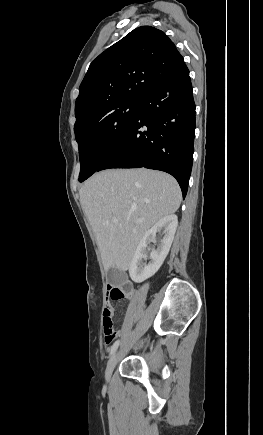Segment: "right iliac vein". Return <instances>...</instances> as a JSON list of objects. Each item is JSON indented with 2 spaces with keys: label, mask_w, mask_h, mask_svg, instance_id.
I'll return each mask as SVG.
<instances>
[{
  "label": "right iliac vein",
  "mask_w": 263,
  "mask_h": 435,
  "mask_svg": "<svg viewBox=\"0 0 263 435\" xmlns=\"http://www.w3.org/2000/svg\"><path fill=\"white\" fill-rule=\"evenodd\" d=\"M118 356H119V352H114L107 363L106 370H105V379L107 381H109L111 378L112 372L118 361Z\"/></svg>",
  "instance_id": "right-iliac-vein-1"
}]
</instances>
